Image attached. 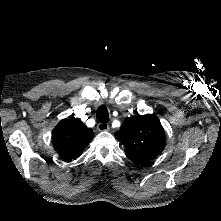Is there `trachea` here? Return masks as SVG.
<instances>
[{
    "mask_svg": "<svg viewBox=\"0 0 221 221\" xmlns=\"http://www.w3.org/2000/svg\"><path fill=\"white\" fill-rule=\"evenodd\" d=\"M96 118L100 123H107L109 121V113L106 106L101 105L96 111Z\"/></svg>",
    "mask_w": 221,
    "mask_h": 221,
    "instance_id": "1",
    "label": "trachea"
}]
</instances>
